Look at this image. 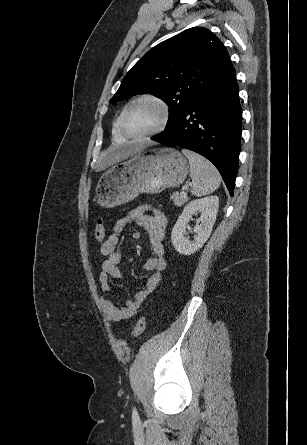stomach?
<instances>
[{"label":"stomach","mask_w":307,"mask_h":445,"mask_svg":"<svg viewBox=\"0 0 307 445\" xmlns=\"http://www.w3.org/2000/svg\"><path fill=\"white\" fill-rule=\"evenodd\" d=\"M189 162L175 148H142L130 160L103 172L96 186L100 206L112 208L134 200L141 192L157 194L185 180Z\"/></svg>","instance_id":"1"}]
</instances>
